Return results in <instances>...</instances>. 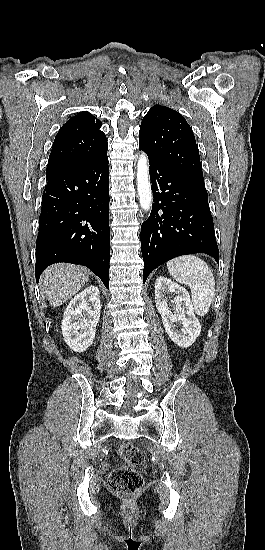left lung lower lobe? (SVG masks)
Returning <instances> with one entry per match:
<instances>
[{
  "mask_svg": "<svg viewBox=\"0 0 265 550\" xmlns=\"http://www.w3.org/2000/svg\"><path fill=\"white\" fill-rule=\"evenodd\" d=\"M148 158L154 203L140 234L143 283L155 268L177 256L205 253L219 263L205 185L157 158Z\"/></svg>",
  "mask_w": 265,
  "mask_h": 550,
  "instance_id": "1",
  "label": "left lung lower lobe"
}]
</instances>
